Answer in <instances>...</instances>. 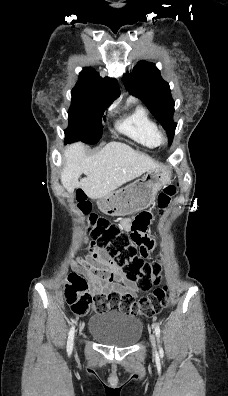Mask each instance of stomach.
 Returning <instances> with one entry per match:
<instances>
[{"label":"stomach","mask_w":228,"mask_h":396,"mask_svg":"<svg viewBox=\"0 0 228 396\" xmlns=\"http://www.w3.org/2000/svg\"><path fill=\"white\" fill-rule=\"evenodd\" d=\"M171 180L165 168L152 169L125 188L112 191L97 199L98 208L110 216H124L148 208L157 192Z\"/></svg>","instance_id":"0dacf381"}]
</instances>
